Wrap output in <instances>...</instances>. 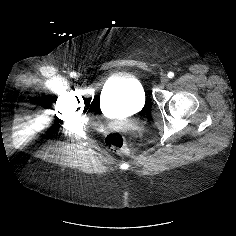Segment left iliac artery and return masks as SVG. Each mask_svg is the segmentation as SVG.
<instances>
[{
  "mask_svg": "<svg viewBox=\"0 0 236 236\" xmlns=\"http://www.w3.org/2000/svg\"><path fill=\"white\" fill-rule=\"evenodd\" d=\"M168 77H169V78H173V77H174V73H173V72H169V73H168Z\"/></svg>",
  "mask_w": 236,
  "mask_h": 236,
  "instance_id": "left-iliac-artery-1",
  "label": "left iliac artery"
}]
</instances>
